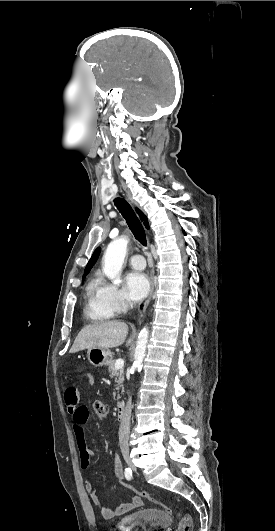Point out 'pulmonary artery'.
Listing matches in <instances>:
<instances>
[{
    "mask_svg": "<svg viewBox=\"0 0 275 531\" xmlns=\"http://www.w3.org/2000/svg\"><path fill=\"white\" fill-rule=\"evenodd\" d=\"M127 261L130 264V266L134 269H144L146 266V262L142 255H138V254L132 255L130 257H127Z\"/></svg>",
    "mask_w": 275,
    "mask_h": 531,
    "instance_id": "e3ab8cb5",
    "label": "pulmonary artery"
}]
</instances>
